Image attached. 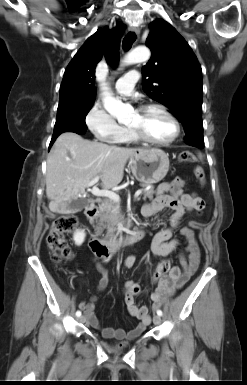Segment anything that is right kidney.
<instances>
[{
  "mask_svg": "<svg viewBox=\"0 0 247 385\" xmlns=\"http://www.w3.org/2000/svg\"><path fill=\"white\" fill-rule=\"evenodd\" d=\"M86 237V234L83 230H78L74 233L73 235V240L75 242V245L81 246L82 243L84 242Z\"/></svg>",
  "mask_w": 247,
  "mask_h": 385,
  "instance_id": "ca27d5eb",
  "label": "right kidney"
}]
</instances>
